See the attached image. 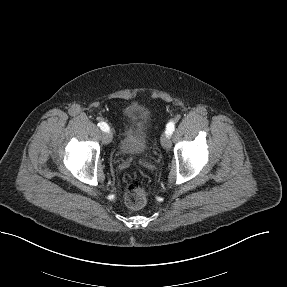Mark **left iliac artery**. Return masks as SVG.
<instances>
[{"label":"left iliac artery","instance_id":"1","mask_svg":"<svg viewBox=\"0 0 287 287\" xmlns=\"http://www.w3.org/2000/svg\"><path fill=\"white\" fill-rule=\"evenodd\" d=\"M174 129H175V123H174V121H170L166 126V133L168 135H171L173 133Z\"/></svg>","mask_w":287,"mask_h":287}]
</instances>
